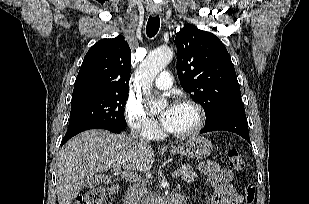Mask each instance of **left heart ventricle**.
Here are the masks:
<instances>
[{
    "label": "left heart ventricle",
    "instance_id": "obj_1",
    "mask_svg": "<svg viewBox=\"0 0 309 204\" xmlns=\"http://www.w3.org/2000/svg\"><path fill=\"white\" fill-rule=\"evenodd\" d=\"M197 122L196 111L189 106L175 105L167 129L183 132L191 129Z\"/></svg>",
    "mask_w": 309,
    "mask_h": 204
}]
</instances>
